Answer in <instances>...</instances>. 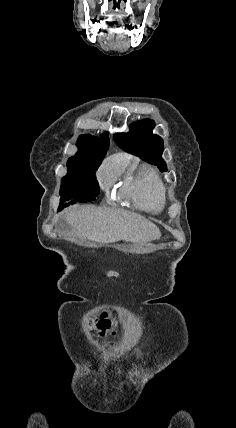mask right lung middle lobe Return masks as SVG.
Instances as JSON below:
<instances>
[{
	"mask_svg": "<svg viewBox=\"0 0 236 428\" xmlns=\"http://www.w3.org/2000/svg\"><path fill=\"white\" fill-rule=\"evenodd\" d=\"M96 170V168H68V173L61 181L59 211L70 204L95 200L100 190L95 176Z\"/></svg>",
	"mask_w": 236,
	"mask_h": 428,
	"instance_id": "obj_1",
	"label": "right lung middle lobe"
}]
</instances>
